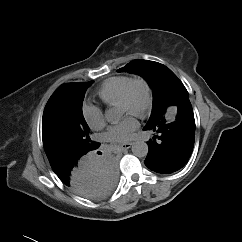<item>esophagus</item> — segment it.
I'll list each match as a JSON object with an SVG mask.
<instances>
[{
	"label": "esophagus",
	"instance_id": "34e87169",
	"mask_svg": "<svg viewBox=\"0 0 242 242\" xmlns=\"http://www.w3.org/2000/svg\"><path fill=\"white\" fill-rule=\"evenodd\" d=\"M132 146V143H124L120 145V148L125 151L127 149H129Z\"/></svg>",
	"mask_w": 242,
	"mask_h": 242
}]
</instances>
